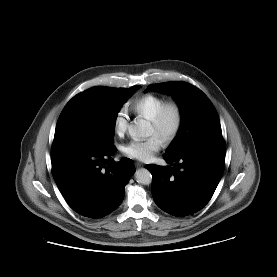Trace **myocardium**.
Masks as SVG:
<instances>
[{
  "mask_svg": "<svg viewBox=\"0 0 277 277\" xmlns=\"http://www.w3.org/2000/svg\"><path fill=\"white\" fill-rule=\"evenodd\" d=\"M170 115L173 116V124L169 129H166L165 125ZM150 122L162 142L165 145H170L177 139L182 130L184 123L183 109L177 101H166Z\"/></svg>",
  "mask_w": 277,
  "mask_h": 277,
  "instance_id": "1",
  "label": "myocardium"
}]
</instances>
